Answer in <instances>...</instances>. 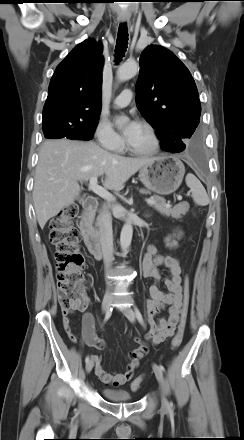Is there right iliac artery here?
<instances>
[{
	"label": "right iliac artery",
	"mask_w": 244,
	"mask_h": 440,
	"mask_svg": "<svg viewBox=\"0 0 244 440\" xmlns=\"http://www.w3.org/2000/svg\"><path fill=\"white\" fill-rule=\"evenodd\" d=\"M112 313V308L108 309V311L106 312L105 318H104V323L110 318ZM85 362L88 363L89 362V356H87L85 358Z\"/></svg>",
	"instance_id": "obj_1"
}]
</instances>
